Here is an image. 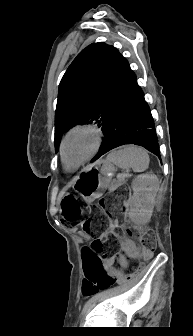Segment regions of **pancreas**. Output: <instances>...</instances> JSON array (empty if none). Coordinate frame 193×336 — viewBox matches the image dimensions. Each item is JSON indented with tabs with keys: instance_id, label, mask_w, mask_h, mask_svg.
<instances>
[{
	"instance_id": "1",
	"label": "pancreas",
	"mask_w": 193,
	"mask_h": 336,
	"mask_svg": "<svg viewBox=\"0 0 193 336\" xmlns=\"http://www.w3.org/2000/svg\"><path fill=\"white\" fill-rule=\"evenodd\" d=\"M124 180H125V179H124V176H123V175L117 177V181H116V183H115V186H118V185L122 184V183L124 182ZM110 190H111V191H114V190H115V187H114V186H111V187H110Z\"/></svg>"
}]
</instances>
